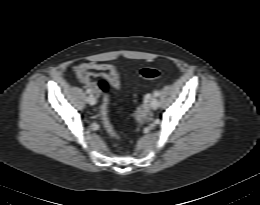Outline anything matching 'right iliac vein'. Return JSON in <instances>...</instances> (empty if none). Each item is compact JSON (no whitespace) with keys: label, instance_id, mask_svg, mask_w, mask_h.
I'll list each match as a JSON object with an SVG mask.
<instances>
[{"label":"right iliac vein","instance_id":"right-iliac-vein-1","mask_svg":"<svg viewBox=\"0 0 260 205\" xmlns=\"http://www.w3.org/2000/svg\"><path fill=\"white\" fill-rule=\"evenodd\" d=\"M87 102L90 105H95L96 104V98L91 94L87 97Z\"/></svg>","mask_w":260,"mask_h":205}]
</instances>
